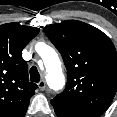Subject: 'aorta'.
Returning <instances> with one entry per match:
<instances>
[{
    "mask_svg": "<svg viewBox=\"0 0 117 117\" xmlns=\"http://www.w3.org/2000/svg\"><path fill=\"white\" fill-rule=\"evenodd\" d=\"M39 55L44 62L49 85L53 88L62 87L64 85V75L61 61L56 51L52 47L45 45L39 50Z\"/></svg>",
    "mask_w": 117,
    "mask_h": 117,
    "instance_id": "1",
    "label": "aorta"
}]
</instances>
